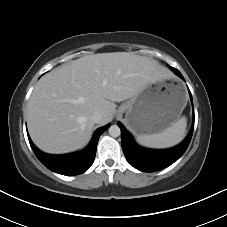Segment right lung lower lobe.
I'll return each instance as SVG.
<instances>
[{
    "label": "right lung lower lobe",
    "instance_id": "1",
    "mask_svg": "<svg viewBox=\"0 0 227 227\" xmlns=\"http://www.w3.org/2000/svg\"><path fill=\"white\" fill-rule=\"evenodd\" d=\"M109 126L110 124L97 129L90 144L84 150L65 155H50L43 153L34 146L29 135L28 139L32 150L39 161L49 170L62 175H78L87 171L92 165L96 155L99 137Z\"/></svg>",
    "mask_w": 227,
    "mask_h": 227
}]
</instances>
